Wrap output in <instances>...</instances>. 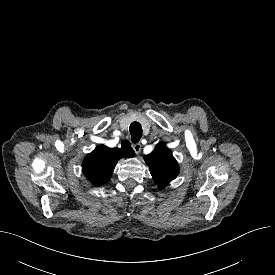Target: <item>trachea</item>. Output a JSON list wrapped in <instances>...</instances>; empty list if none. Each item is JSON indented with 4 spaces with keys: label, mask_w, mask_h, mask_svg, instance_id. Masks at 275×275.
<instances>
[{
    "label": "trachea",
    "mask_w": 275,
    "mask_h": 275,
    "mask_svg": "<svg viewBox=\"0 0 275 275\" xmlns=\"http://www.w3.org/2000/svg\"><path fill=\"white\" fill-rule=\"evenodd\" d=\"M130 134H131V139L133 143H137L140 141L141 137H142V127L140 125V123L138 122H133L130 125Z\"/></svg>",
    "instance_id": "3493384b"
}]
</instances>
